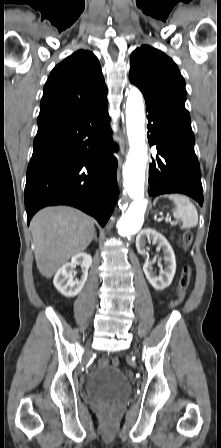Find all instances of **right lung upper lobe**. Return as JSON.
Wrapping results in <instances>:
<instances>
[{"label": "right lung upper lobe", "mask_w": 221, "mask_h": 448, "mask_svg": "<svg viewBox=\"0 0 221 448\" xmlns=\"http://www.w3.org/2000/svg\"><path fill=\"white\" fill-rule=\"evenodd\" d=\"M107 87L97 57L78 50L50 73L37 119L38 132L106 100Z\"/></svg>", "instance_id": "cb5924a9"}]
</instances>
